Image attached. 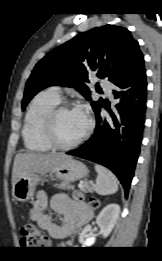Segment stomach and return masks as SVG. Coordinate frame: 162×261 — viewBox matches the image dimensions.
<instances>
[{
  "label": "stomach",
  "instance_id": "stomach-1",
  "mask_svg": "<svg viewBox=\"0 0 162 261\" xmlns=\"http://www.w3.org/2000/svg\"><path fill=\"white\" fill-rule=\"evenodd\" d=\"M87 167L80 161L68 156L52 172L50 177L65 182H73L86 177ZM44 174H33L20 178L13 186L12 194L19 202H27L34 197L36 186L43 180Z\"/></svg>",
  "mask_w": 162,
  "mask_h": 261
}]
</instances>
